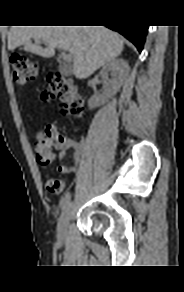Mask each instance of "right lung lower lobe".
<instances>
[{
    "mask_svg": "<svg viewBox=\"0 0 184 292\" xmlns=\"http://www.w3.org/2000/svg\"><path fill=\"white\" fill-rule=\"evenodd\" d=\"M112 30H115L125 36L128 40H130L139 50L142 51L146 33L148 30V26L146 25H138V26H128V25H107Z\"/></svg>",
    "mask_w": 184,
    "mask_h": 292,
    "instance_id": "1",
    "label": "right lung lower lobe"
}]
</instances>
